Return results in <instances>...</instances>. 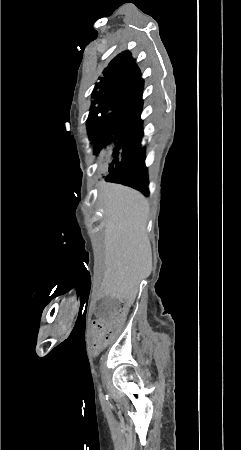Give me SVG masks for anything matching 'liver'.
I'll return each instance as SVG.
<instances>
[{"label": "liver", "instance_id": "1", "mask_svg": "<svg viewBox=\"0 0 241 450\" xmlns=\"http://www.w3.org/2000/svg\"><path fill=\"white\" fill-rule=\"evenodd\" d=\"M97 186L107 218L104 286L110 296L133 304L140 282L152 272V250L146 234L149 204L132 188L104 180Z\"/></svg>", "mask_w": 241, "mask_h": 450}]
</instances>
